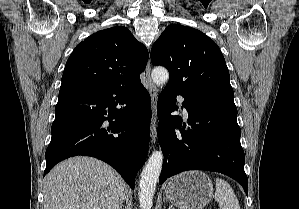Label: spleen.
Segmentation results:
<instances>
[{"label":"spleen","mask_w":299,"mask_h":209,"mask_svg":"<svg viewBox=\"0 0 299 209\" xmlns=\"http://www.w3.org/2000/svg\"><path fill=\"white\" fill-rule=\"evenodd\" d=\"M215 187V199L222 209H240L238 199L228 182L217 178Z\"/></svg>","instance_id":"3e777b00"}]
</instances>
